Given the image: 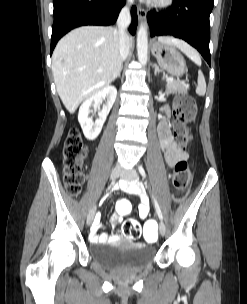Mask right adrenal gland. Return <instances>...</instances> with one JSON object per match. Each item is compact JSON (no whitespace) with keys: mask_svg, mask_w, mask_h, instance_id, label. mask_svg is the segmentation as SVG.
Wrapping results in <instances>:
<instances>
[{"mask_svg":"<svg viewBox=\"0 0 247 304\" xmlns=\"http://www.w3.org/2000/svg\"><path fill=\"white\" fill-rule=\"evenodd\" d=\"M121 71H122V67L120 68V70H119V72H118L116 78H120V77H121ZM116 78H115V79H116Z\"/></svg>","mask_w":247,"mask_h":304,"instance_id":"obj_1","label":"right adrenal gland"}]
</instances>
